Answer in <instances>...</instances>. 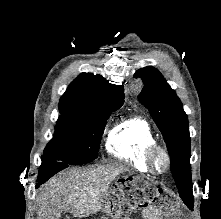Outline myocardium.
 Returning <instances> with one entry per match:
<instances>
[{
  "label": "myocardium",
  "instance_id": "obj_1",
  "mask_svg": "<svg viewBox=\"0 0 221 219\" xmlns=\"http://www.w3.org/2000/svg\"><path fill=\"white\" fill-rule=\"evenodd\" d=\"M157 154H161L165 161V166L163 170H158L155 164V158ZM145 161L151 172L162 175L165 174L171 166V156L168 150L161 144L153 143L151 144L145 152Z\"/></svg>",
  "mask_w": 221,
  "mask_h": 219
}]
</instances>
